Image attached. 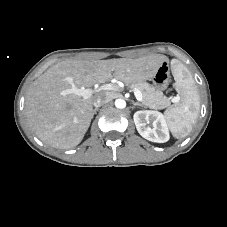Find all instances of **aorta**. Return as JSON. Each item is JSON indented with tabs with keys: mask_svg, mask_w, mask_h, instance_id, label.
<instances>
[{
	"mask_svg": "<svg viewBox=\"0 0 227 227\" xmlns=\"http://www.w3.org/2000/svg\"><path fill=\"white\" fill-rule=\"evenodd\" d=\"M115 106L118 109H124L126 107V101L124 99H116Z\"/></svg>",
	"mask_w": 227,
	"mask_h": 227,
	"instance_id": "aorta-1",
	"label": "aorta"
}]
</instances>
